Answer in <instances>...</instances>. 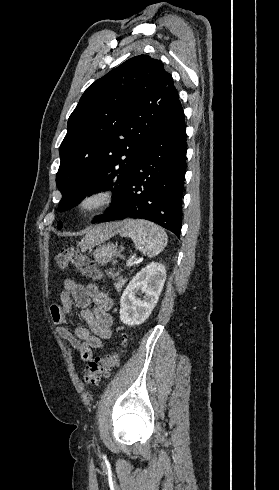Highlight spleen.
<instances>
[{
  "instance_id": "3e777b00",
  "label": "spleen",
  "mask_w": 279,
  "mask_h": 490,
  "mask_svg": "<svg viewBox=\"0 0 279 490\" xmlns=\"http://www.w3.org/2000/svg\"><path fill=\"white\" fill-rule=\"evenodd\" d=\"M120 236L131 238L136 250L145 252L148 258L158 256L167 246V236L163 228L147 220H125L120 228Z\"/></svg>"
}]
</instances>
